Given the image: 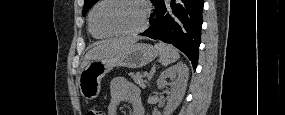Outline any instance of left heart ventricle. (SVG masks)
Instances as JSON below:
<instances>
[{"label": "left heart ventricle", "mask_w": 285, "mask_h": 115, "mask_svg": "<svg viewBox=\"0 0 285 115\" xmlns=\"http://www.w3.org/2000/svg\"><path fill=\"white\" fill-rule=\"evenodd\" d=\"M94 19L100 29L128 32L141 26L142 10L137 3L132 1H108L98 8Z\"/></svg>", "instance_id": "b2bd125f"}]
</instances>
